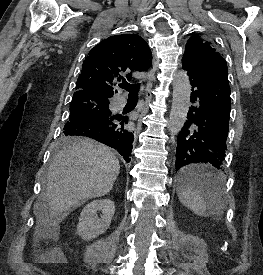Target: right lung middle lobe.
<instances>
[{
  "label": "right lung middle lobe",
  "instance_id": "right-lung-middle-lobe-1",
  "mask_svg": "<svg viewBox=\"0 0 263 275\" xmlns=\"http://www.w3.org/2000/svg\"><path fill=\"white\" fill-rule=\"evenodd\" d=\"M109 99L94 94H80L73 96L70 105V116L65 127H69L74 123L86 118H99L110 116ZM73 137L66 133H62L58 142L60 144L73 142Z\"/></svg>",
  "mask_w": 263,
  "mask_h": 275
}]
</instances>
